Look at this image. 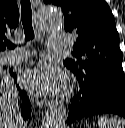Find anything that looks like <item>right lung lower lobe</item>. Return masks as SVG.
Returning a JSON list of instances; mask_svg holds the SVG:
<instances>
[{"label": "right lung lower lobe", "mask_w": 125, "mask_h": 128, "mask_svg": "<svg viewBox=\"0 0 125 128\" xmlns=\"http://www.w3.org/2000/svg\"><path fill=\"white\" fill-rule=\"evenodd\" d=\"M9 71L16 81V74L13 73L12 69H10ZM16 87L19 90L20 97L22 98L21 115L23 116L24 120H27L31 113V104L29 98L27 97V93L24 90H21L17 84Z\"/></svg>", "instance_id": "98d812e1"}]
</instances>
